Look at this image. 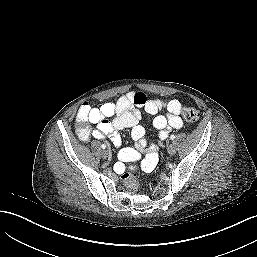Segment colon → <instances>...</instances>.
<instances>
[{"label":"colon","mask_w":257,"mask_h":257,"mask_svg":"<svg viewBox=\"0 0 257 257\" xmlns=\"http://www.w3.org/2000/svg\"><path fill=\"white\" fill-rule=\"evenodd\" d=\"M85 104H82L80 108H82ZM88 114V109L82 110V115L85 117ZM182 116L187 123H195L200 116L199 111L194 107H185L182 111ZM84 119L81 120L83 122ZM124 183L127 189L132 192H138L141 188V185L138 181L129 174L124 176Z\"/></svg>","instance_id":"1"}]
</instances>
